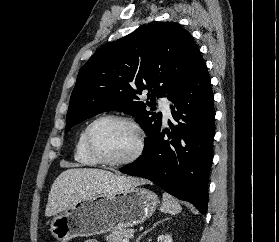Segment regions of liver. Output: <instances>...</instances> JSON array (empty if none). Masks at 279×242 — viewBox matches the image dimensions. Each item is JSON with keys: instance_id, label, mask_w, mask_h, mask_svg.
Returning a JSON list of instances; mask_svg holds the SVG:
<instances>
[{"instance_id": "obj_1", "label": "liver", "mask_w": 279, "mask_h": 242, "mask_svg": "<svg viewBox=\"0 0 279 242\" xmlns=\"http://www.w3.org/2000/svg\"><path fill=\"white\" fill-rule=\"evenodd\" d=\"M145 180L92 168L63 171L51 186L45 216L60 213L80 199L145 184Z\"/></svg>"}]
</instances>
